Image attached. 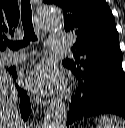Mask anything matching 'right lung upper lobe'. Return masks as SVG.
I'll use <instances>...</instances> for the list:
<instances>
[{
  "label": "right lung upper lobe",
  "mask_w": 125,
  "mask_h": 128,
  "mask_svg": "<svg viewBox=\"0 0 125 128\" xmlns=\"http://www.w3.org/2000/svg\"><path fill=\"white\" fill-rule=\"evenodd\" d=\"M19 7L17 0H0V51L6 48V36H13L19 22Z\"/></svg>",
  "instance_id": "right-lung-upper-lobe-1"
}]
</instances>
